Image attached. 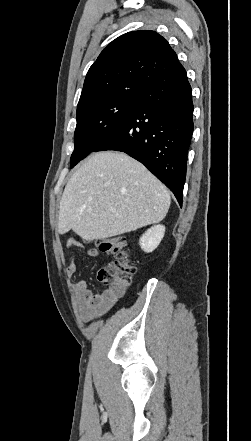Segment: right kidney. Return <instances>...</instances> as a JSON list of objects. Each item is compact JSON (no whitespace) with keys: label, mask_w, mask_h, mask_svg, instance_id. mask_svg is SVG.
I'll list each match as a JSON object with an SVG mask.
<instances>
[{"label":"right kidney","mask_w":251,"mask_h":441,"mask_svg":"<svg viewBox=\"0 0 251 441\" xmlns=\"http://www.w3.org/2000/svg\"><path fill=\"white\" fill-rule=\"evenodd\" d=\"M164 234L165 226L155 225L151 227L141 236L139 240L141 249L146 253L154 251L163 239Z\"/></svg>","instance_id":"ca27d5eb"}]
</instances>
